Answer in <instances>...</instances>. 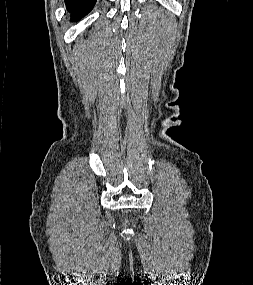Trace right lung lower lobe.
Here are the masks:
<instances>
[{
	"label": "right lung lower lobe",
	"mask_w": 253,
	"mask_h": 285,
	"mask_svg": "<svg viewBox=\"0 0 253 285\" xmlns=\"http://www.w3.org/2000/svg\"><path fill=\"white\" fill-rule=\"evenodd\" d=\"M71 20L77 21L87 15L94 7L96 0H64Z\"/></svg>",
	"instance_id": "right-lung-lower-lobe-1"
}]
</instances>
